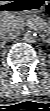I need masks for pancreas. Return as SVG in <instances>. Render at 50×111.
I'll use <instances>...</instances> for the list:
<instances>
[{
    "mask_svg": "<svg viewBox=\"0 0 50 111\" xmlns=\"http://www.w3.org/2000/svg\"><path fill=\"white\" fill-rule=\"evenodd\" d=\"M34 16L32 15H25V16H12L10 18H7L3 21V26L8 29H21L26 25L29 21H32ZM38 28L41 30L43 29L41 24L42 20H38Z\"/></svg>",
    "mask_w": 50,
    "mask_h": 111,
    "instance_id": "pancreas-1",
    "label": "pancreas"
}]
</instances>
